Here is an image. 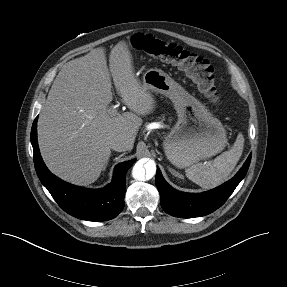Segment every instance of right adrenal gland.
<instances>
[{
    "instance_id": "obj_1",
    "label": "right adrenal gland",
    "mask_w": 287,
    "mask_h": 287,
    "mask_svg": "<svg viewBox=\"0 0 287 287\" xmlns=\"http://www.w3.org/2000/svg\"><path fill=\"white\" fill-rule=\"evenodd\" d=\"M109 159L106 161L105 166L103 167V170L106 169L107 165H108Z\"/></svg>"
}]
</instances>
